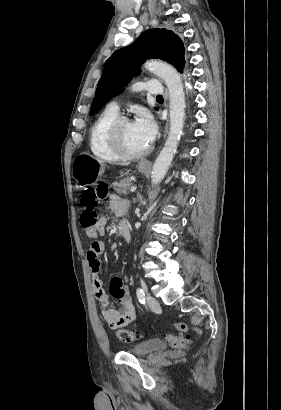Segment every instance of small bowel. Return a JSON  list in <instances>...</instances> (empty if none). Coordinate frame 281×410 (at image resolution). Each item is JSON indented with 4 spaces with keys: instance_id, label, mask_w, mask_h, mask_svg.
Returning a JSON list of instances; mask_svg holds the SVG:
<instances>
[{
    "instance_id": "1",
    "label": "small bowel",
    "mask_w": 281,
    "mask_h": 410,
    "mask_svg": "<svg viewBox=\"0 0 281 410\" xmlns=\"http://www.w3.org/2000/svg\"><path fill=\"white\" fill-rule=\"evenodd\" d=\"M128 210V203L117 195H111L107 211L108 214L102 216L97 223V231L104 234L110 215H124ZM128 224L124 219L121 223ZM105 251L103 241H94L87 251V261L92 274V288L96 299L101 303V316L111 327H121L137 319V314L133 301L129 295V288L126 284V278L115 274L109 285L110 295L118 300L121 309H115L109 306V295L103 288V282L100 278L101 263L99 257Z\"/></svg>"
}]
</instances>
